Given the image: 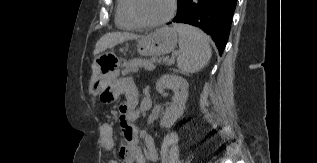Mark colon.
<instances>
[{"label": "colon", "instance_id": "1", "mask_svg": "<svg viewBox=\"0 0 317 163\" xmlns=\"http://www.w3.org/2000/svg\"><path fill=\"white\" fill-rule=\"evenodd\" d=\"M112 100V97L110 96V95H105L104 97H103V101L104 102H110Z\"/></svg>", "mask_w": 317, "mask_h": 163}]
</instances>
